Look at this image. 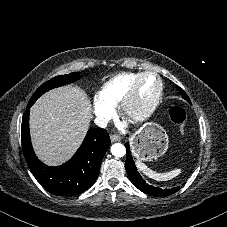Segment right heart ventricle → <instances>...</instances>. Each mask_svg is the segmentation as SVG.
<instances>
[{
    "mask_svg": "<svg viewBox=\"0 0 227 227\" xmlns=\"http://www.w3.org/2000/svg\"><path fill=\"white\" fill-rule=\"evenodd\" d=\"M139 74L137 72H124L104 82L97 91L99 101L110 106L120 103Z\"/></svg>",
    "mask_w": 227,
    "mask_h": 227,
    "instance_id": "right-heart-ventricle-1",
    "label": "right heart ventricle"
}]
</instances>
